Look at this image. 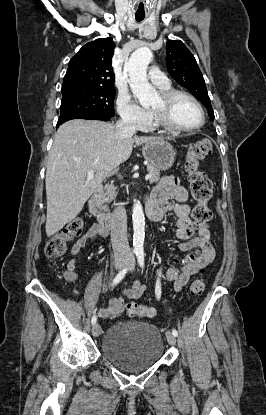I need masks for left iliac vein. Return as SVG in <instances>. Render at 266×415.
<instances>
[{
  "label": "left iliac vein",
  "instance_id": "obj_1",
  "mask_svg": "<svg viewBox=\"0 0 266 415\" xmlns=\"http://www.w3.org/2000/svg\"><path fill=\"white\" fill-rule=\"evenodd\" d=\"M134 267H135V261L134 260H132L131 261V264H130V271H133L134 270ZM166 338H167V341H168V343L170 344V345H175L176 344V337L173 335V333H171L170 331H167L166 332Z\"/></svg>",
  "mask_w": 266,
  "mask_h": 415
}]
</instances>
